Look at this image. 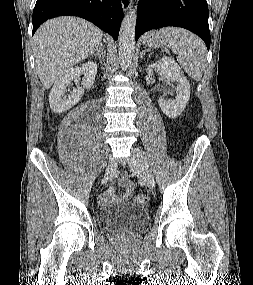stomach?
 Returning <instances> with one entry per match:
<instances>
[{"label": "stomach", "instance_id": "0dacf381", "mask_svg": "<svg viewBox=\"0 0 253 285\" xmlns=\"http://www.w3.org/2000/svg\"><path fill=\"white\" fill-rule=\"evenodd\" d=\"M149 48H162L167 45L168 39L160 31H151L146 35L143 41Z\"/></svg>", "mask_w": 253, "mask_h": 285}]
</instances>
